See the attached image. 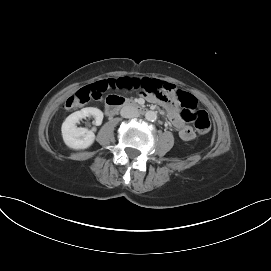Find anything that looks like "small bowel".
I'll list each match as a JSON object with an SVG mask.
<instances>
[{"instance_id": "1", "label": "small bowel", "mask_w": 271, "mask_h": 271, "mask_svg": "<svg viewBox=\"0 0 271 271\" xmlns=\"http://www.w3.org/2000/svg\"><path fill=\"white\" fill-rule=\"evenodd\" d=\"M113 83L112 80H102L92 86L107 90ZM132 89L141 91V97L146 98L152 105H165L168 117L182 140L190 141L195 138L193 129L181 117L176 100L177 91L173 84L163 82L158 76H138L133 78Z\"/></svg>"}]
</instances>
